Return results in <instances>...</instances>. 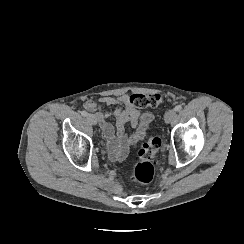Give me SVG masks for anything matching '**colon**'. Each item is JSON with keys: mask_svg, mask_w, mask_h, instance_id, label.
I'll return each instance as SVG.
<instances>
[{"mask_svg": "<svg viewBox=\"0 0 244 244\" xmlns=\"http://www.w3.org/2000/svg\"><path fill=\"white\" fill-rule=\"evenodd\" d=\"M165 97L161 93L134 94L130 97V103L135 108H157L163 105ZM137 140V139H135ZM161 146V139L155 133L147 136L144 144L138 152L137 160L134 162L135 174L133 181L140 183L149 182L154 176L153 161L155 154Z\"/></svg>", "mask_w": 244, "mask_h": 244, "instance_id": "1", "label": "colon"}]
</instances>
